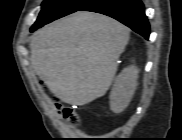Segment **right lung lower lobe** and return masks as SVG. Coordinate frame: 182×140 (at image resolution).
Wrapping results in <instances>:
<instances>
[{
	"instance_id": "1",
	"label": "right lung lower lobe",
	"mask_w": 182,
	"mask_h": 140,
	"mask_svg": "<svg viewBox=\"0 0 182 140\" xmlns=\"http://www.w3.org/2000/svg\"><path fill=\"white\" fill-rule=\"evenodd\" d=\"M78 11H92L108 15L146 39L149 38L150 27L141 0H91Z\"/></svg>"
}]
</instances>
